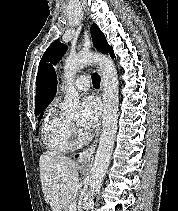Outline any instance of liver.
<instances>
[{
	"mask_svg": "<svg viewBox=\"0 0 178 211\" xmlns=\"http://www.w3.org/2000/svg\"><path fill=\"white\" fill-rule=\"evenodd\" d=\"M74 160L54 152L40 156V179L45 201L52 211H62L76 191L78 172Z\"/></svg>",
	"mask_w": 178,
	"mask_h": 211,
	"instance_id": "obj_1",
	"label": "liver"
}]
</instances>
